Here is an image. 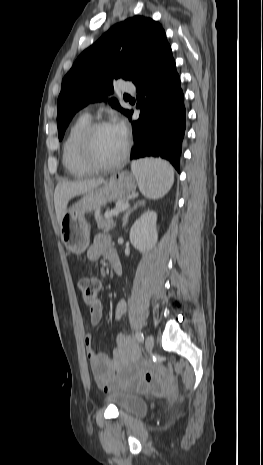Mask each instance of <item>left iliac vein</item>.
I'll use <instances>...</instances> for the list:
<instances>
[{"label":"left iliac vein","mask_w":263,"mask_h":465,"mask_svg":"<svg viewBox=\"0 0 263 465\" xmlns=\"http://www.w3.org/2000/svg\"><path fill=\"white\" fill-rule=\"evenodd\" d=\"M153 346H154V338L152 335H148L145 340V351L147 354L153 350Z\"/></svg>","instance_id":"left-iliac-vein-1"}]
</instances>
